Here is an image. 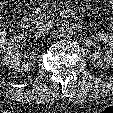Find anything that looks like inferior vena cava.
Instances as JSON below:
<instances>
[{
	"instance_id": "1",
	"label": "inferior vena cava",
	"mask_w": 113,
	"mask_h": 113,
	"mask_svg": "<svg viewBox=\"0 0 113 113\" xmlns=\"http://www.w3.org/2000/svg\"><path fill=\"white\" fill-rule=\"evenodd\" d=\"M54 24L52 22H47V23H41V25L38 27V32L39 33H47L51 29H53Z\"/></svg>"
}]
</instances>
